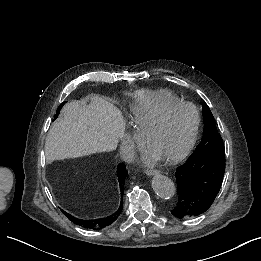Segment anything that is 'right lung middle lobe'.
Masks as SVG:
<instances>
[{
	"mask_svg": "<svg viewBox=\"0 0 261 261\" xmlns=\"http://www.w3.org/2000/svg\"><path fill=\"white\" fill-rule=\"evenodd\" d=\"M63 105H64V103H62V104L59 106V108H58V110H57V112H56V115H55V119L58 117V114L60 113V109L62 108Z\"/></svg>",
	"mask_w": 261,
	"mask_h": 261,
	"instance_id": "obj_1",
	"label": "right lung middle lobe"
}]
</instances>
